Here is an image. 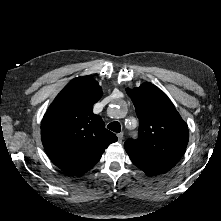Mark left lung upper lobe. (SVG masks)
I'll list each match as a JSON object with an SVG mask.
<instances>
[{
  "mask_svg": "<svg viewBox=\"0 0 221 221\" xmlns=\"http://www.w3.org/2000/svg\"><path fill=\"white\" fill-rule=\"evenodd\" d=\"M139 119V141L124 144L131 161L150 176L169 171L182 157L189 138L187 124L169 98L145 82L127 89Z\"/></svg>",
  "mask_w": 221,
  "mask_h": 221,
  "instance_id": "1",
  "label": "left lung upper lobe"
}]
</instances>
